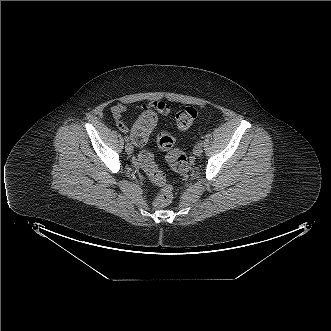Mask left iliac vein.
<instances>
[{
  "mask_svg": "<svg viewBox=\"0 0 331 331\" xmlns=\"http://www.w3.org/2000/svg\"><path fill=\"white\" fill-rule=\"evenodd\" d=\"M203 152L202 146L197 144L194 149H193V153L195 156H200Z\"/></svg>",
  "mask_w": 331,
  "mask_h": 331,
  "instance_id": "left-iliac-vein-1",
  "label": "left iliac vein"
}]
</instances>
